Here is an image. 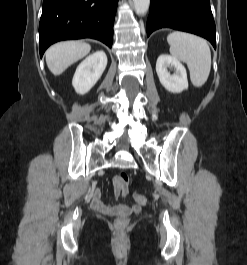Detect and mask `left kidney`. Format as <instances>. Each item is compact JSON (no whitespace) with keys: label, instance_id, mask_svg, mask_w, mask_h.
I'll return each mask as SVG.
<instances>
[{"label":"left kidney","instance_id":"5707ae66","mask_svg":"<svg viewBox=\"0 0 247 265\" xmlns=\"http://www.w3.org/2000/svg\"><path fill=\"white\" fill-rule=\"evenodd\" d=\"M174 67L175 73L170 75L167 68ZM156 72L163 87L172 93H180L188 89V80L185 67L174 57L163 54L156 62Z\"/></svg>","mask_w":247,"mask_h":265}]
</instances>
